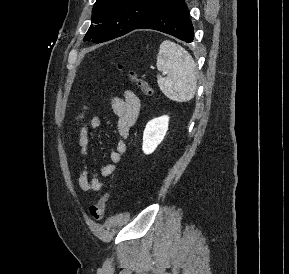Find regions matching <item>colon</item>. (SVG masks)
Returning <instances> with one entry per match:
<instances>
[{
    "label": "colon",
    "instance_id": "1",
    "mask_svg": "<svg viewBox=\"0 0 289 274\" xmlns=\"http://www.w3.org/2000/svg\"><path fill=\"white\" fill-rule=\"evenodd\" d=\"M116 67L121 72L125 71L124 66L121 64L116 65ZM127 76L131 82L136 84V86L138 87V89L142 94L146 96L152 95L153 93L152 88L146 80L139 77L133 71H127ZM108 199L109 193L105 192L96 204L91 205L89 207V215L93 220L98 221L103 217L106 210Z\"/></svg>",
    "mask_w": 289,
    "mask_h": 274
}]
</instances>
